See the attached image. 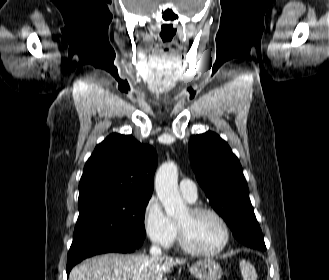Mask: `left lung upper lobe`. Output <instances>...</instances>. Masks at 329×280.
Returning <instances> with one entry per match:
<instances>
[{
    "mask_svg": "<svg viewBox=\"0 0 329 280\" xmlns=\"http://www.w3.org/2000/svg\"><path fill=\"white\" fill-rule=\"evenodd\" d=\"M189 154L196 179L209 203L227 221L235 238L239 231H250L236 239L249 247L266 249L261 229L255 227L258 222L241 164L228 144L213 132L193 135Z\"/></svg>",
    "mask_w": 329,
    "mask_h": 280,
    "instance_id": "5c2ea615",
    "label": "left lung upper lobe"
}]
</instances>
